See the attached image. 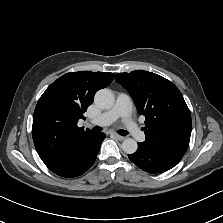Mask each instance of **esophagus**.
Segmentation results:
<instances>
[{
  "mask_svg": "<svg viewBox=\"0 0 223 223\" xmlns=\"http://www.w3.org/2000/svg\"><path fill=\"white\" fill-rule=\"evenodd\" d=\"M115 139L118 140V141H122V140L125 139V137L120 136V135H118V134H115Z\"/></svg>",
  "mask_w": 223,
  "mask_h": 223,
  "instance_id": "esophagus-1",
  "label": "esophagus"
}]
</instances>
